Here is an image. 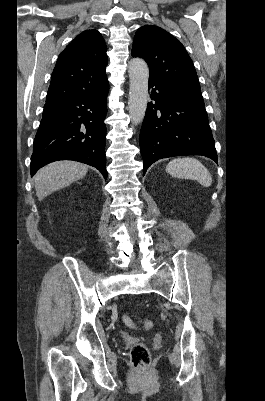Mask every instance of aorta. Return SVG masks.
<instances>
[{"instance_id":"1","label":"aorta","mask_w":265,"mask_h":401,"mask_svg":"<svg viewBox=\"0 0 265 401\" xmlns=\"http://www.w3.org/2000/svg\"><path fill=\"white\" fill-rule=\"evenodd\" d=\"M130 76L129 86V116L132 124L142 122L147 106L149 68L143 58H131L128 66Z\"/></svg>"}]
</instances>
